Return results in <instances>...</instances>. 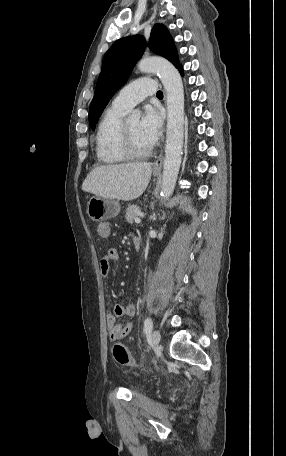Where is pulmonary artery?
Here are the masks:
<instances>
[{
	"label": "pulmonary artery",
	"instance_id": "obj_1",
	"mask_svg": "<svg viewBox=\"0 0 286 456\" xmlns=\"http://www.w3.org/2000/svg\"><path fill=\"white\" fill-rule=\"evenodd\" d=\"M156 82L150 77H141L128 84L114 97L112 106L129 111L146 97L155 94Z\"/></svg>",
	"mask_w": 286,
	"mask_h": 456
}]
</instances>
